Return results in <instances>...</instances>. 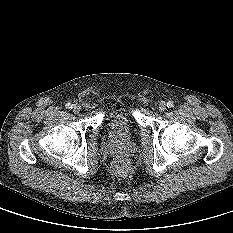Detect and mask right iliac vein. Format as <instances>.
<instances>
[{
    "label": "right iliac vein",
    "mask_w": 233,
    "mask_h": 233,
    "mask_svg": "<svg viewBox=\"0 0 233 233\" xmlns=\"http://www.w3.org/2000/svg\"><path fill=\"white\" fill-rule=\"evenodd\" d=\"M80 111H81V106L79 104H74L73 105V112L79 113Z\"/></svg>",
    "instance_id": "right-iliac-vein-1"
}]
</instances>
